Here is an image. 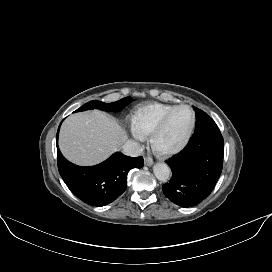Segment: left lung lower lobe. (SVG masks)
Masks as SVG:
<instances>
[{
    "label": "left lung lower lobe",
    "mask_w": 272,
    "mask_h": 272,
    "mask_svg": "<svg viewBox=\"0 0 272 272\" xmlns=\"http://www.w3.org/2000/svg\"><path fill=\"white\" fill-rule=\"evenodd\" d=\"M224 140L217 126L193 135L186 147L167 163L171 180L162 186L165 196L181 207L207 198L223 167Z\"/></svg>",
    "instance_id": "0a47b994"
}]
</instances>
